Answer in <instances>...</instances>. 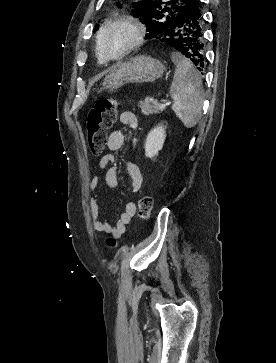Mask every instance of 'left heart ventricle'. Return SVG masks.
<instances>
[{
    "label": "left heart ventricle",
    "mask_w": 276,
    "mask_h": 363,
    "mask_svg": "<svg viewBox=\"0 0 276 363\" xmlns=\"http://www.w3.org/2000/svg\"><path fill=\"white\" fill-rule=\"evenodd\" d=\"M132 33L125 27L114 29L105 40L106 52L111 55L119 54L130 42Z\"/></svg>",
    "instance_id": "left-heart-ventricle-1"
}]
</instances>
